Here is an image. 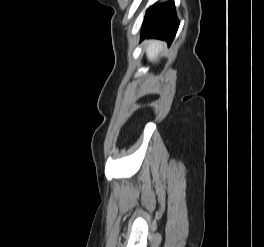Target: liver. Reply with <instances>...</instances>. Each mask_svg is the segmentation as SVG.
Here are the masks:
<instances>
[{
  "instance_id": "1",
  "label": "liver",
  "mask_w": 264,
  "mask_h": 247,
  "mask_svg": "<svg viewBox=\"0 0 264 247\" xmlns=\"http://www.w3.org/2000/svg\"><path fill=\"white\" fill-rule=\"evenodd\" d=\"M164 48V43L158 40L148 41L146 53L149 60L154 61L161 54Z\"/></svg>"
}]
</instances>
